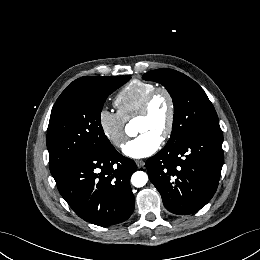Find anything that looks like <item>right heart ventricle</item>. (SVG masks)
<instances>
[{
  "label": "right heart ventricle",
  "mask_w": 260,
  "mask_h": 260,
  "mask_svg": "<svg viewBox=\"0 0 260 260\" xmlns=\"http://www.w3.org/2000/svg\"><path fill=\"white\" fill-rule=\"evenodd\" d=\"M154 88H156V85L151 82L142 80L131 81L115 97L114 102L118 113L126 121L136 116L143 99Z\"/></svg>",
  "instance_id": "e07e8e85"
}]
</instances>
